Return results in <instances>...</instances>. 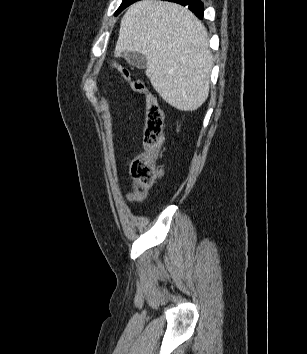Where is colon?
Returning a JSON list of instances; mask_svg holds the SVG:
<instances>
[{"label": "colon", "mask_w": 307, "mask_h": 354, "mask_svg": "<svg viewBox=\"0 0 307 354\" xmlns=\"http://www.w3.org/2000/svg\"><path fill=\"white\" fill-rule=\"evenodd\" d=\"M113 67L135 91L144 95L146 102L144 150L136 154L129 163V171L134 183L129 199L137 202L146 196L162 173L157 158L164 140V113L157 99L146 89L141 80L133 79L128 68L116 64Z\"/></svg>", "instance_id": "obj_1"}]
</instances>
